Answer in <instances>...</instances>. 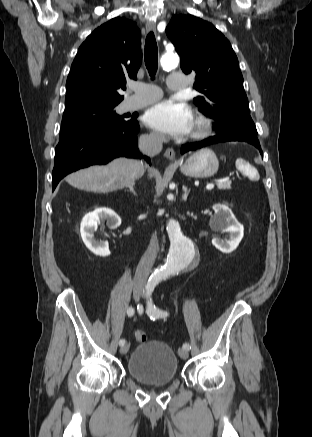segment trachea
<instances>
[{"mask_svg": "<svg viewBox=\"0 0 312 437\" xmlns=\"http://www.w3.org/2000/svg\"><path fill=\"white\" fill-rule=\"evenodd\" d=\"M145 65L151 78H154L157 72L158 50L157 43L153 32H150L145 41Z\"/></svg>", "mask_w": 312, "mask_h": 437, "instance_id": "1", "label": "trachea"}]
</instances>
